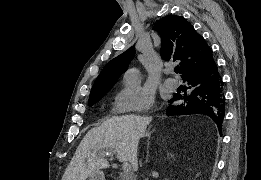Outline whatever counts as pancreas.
I'll list each match as a JSON object with an SVG mask.
<instances>
[{
	"mask_svg": "<svg viewBox=\"0 0 261 180\" xmlns=\"http://www.w3.org/2000/svg\"><path fill=\"white\" fill-rule=\"evenodd\" d=\"M119 180H123V177H120V179Z\"/></svg>",
	"mask_w": 261,
	"mask_h": 180,
	"instance_id": "1",
	"label": "pancreas"
}]
</instances>
